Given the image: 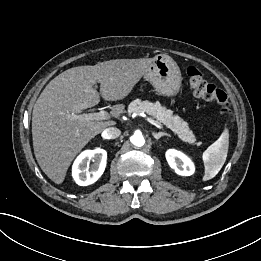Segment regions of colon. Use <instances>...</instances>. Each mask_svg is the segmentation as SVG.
Instances as JSON below:
<instances>
[{
  "mask_svg": "<svg viewBox=\"0 0 261 261\" xmlns=\"http://www.w3.org/2000/svg\"><path fill=\"white\" fill-rule=\"evenodd\" d=\"M186 72L190 87L196 97L217 103L221 107V113L224 116H230L232 114L231 104L223 90L209 83L204 78L202 71L195 66H189Z\"/></svg>",
  "mask_w": 261,
  "mask_h": 261,
  "instance_id": "obj_1",
  "label": "colon"
}]
</instances>
